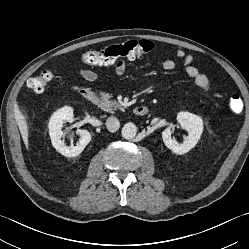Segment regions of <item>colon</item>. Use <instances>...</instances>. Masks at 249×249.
<instances>
[{"mask_svg":"<svg viewBox=\"0 0 249 249\" xmlns=\"http://www.w3.org/2000/svg\"><path fill=\"white\" fill-rule=\"evenodd\" d=\"M154 48L153 42L142 39L132 40L122 44H116L106 47L102 50L86 51L82 54V60L91 65H104L115 62L116 60L136 59L151 52ZM53 78L50 71H43L37 76L30 78L27 86L35 93L44 92ZM228 108L230 112L237 114L243 109V102L238 95H231L228 99Z\"/></svg>","mask_w":249,"mask_h":249,"instance_id":"5ec220e1","label":"colon"}]
</instances>
